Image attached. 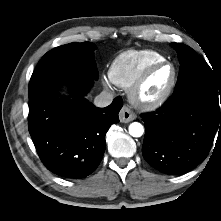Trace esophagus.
Here are the masks:
<instances>
[{
  "instance_id": "34e87169",
  "label": "esophagus",
  "mask_w": 221,
  "mask_h": 221,
  "mask_svg": "<svg viewBox=\"0 0 221 221\" xmlns=\"http://www.w3.org/2000/svg\"><path fill=\"white\" fill-rule=\"evenodd\" d=\"M119 119L122 123H128L136 119V114L129 107L123 106L119 112Z\"/></svg>"
}]
</instances>
